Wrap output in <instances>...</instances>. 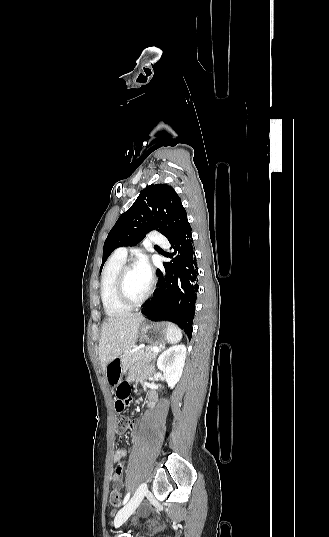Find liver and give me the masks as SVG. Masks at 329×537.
<instances>
[{"mask_svg":"<svg viewBox=\"0 0 329 537\" xmlns=\"http://www.w3.org/2000/svg\"><path fill=\"white\" fill-rule=\"evenodd\" d=\"M143 320L141 314H131L103 322L99 341V361L103 371L112 360L135 344Z\"/></svg>","mask_w":329,"mask_h":537,"instance_id":"obj_1","label":"liver"}]
</instances>
